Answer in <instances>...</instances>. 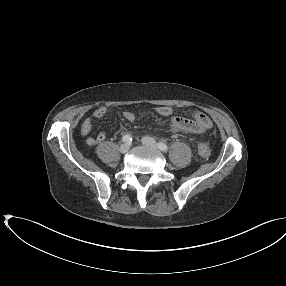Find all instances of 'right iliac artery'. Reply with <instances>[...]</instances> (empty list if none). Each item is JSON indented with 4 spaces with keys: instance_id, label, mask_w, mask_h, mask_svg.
Segmentation results:
<instances>
[{
    "instance_id": "1",
    "label": "right iliac artery",
    "mask_w": 286,
    "mask_h": 286,
    "mask_svg": "<svg viewBox=\"0 0 286 286\" xmlns=\"http://www.w3.org/2000/svg\"><path fill=\"white\" fill-rule=\"evenodd\" d=\"M122 140H123V142L129 143L132 141V137L130 134H126L123 136Z\"/></svg>"
}]
</instances>
